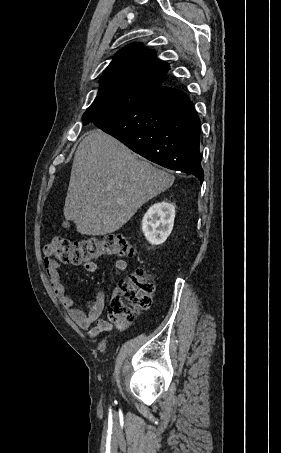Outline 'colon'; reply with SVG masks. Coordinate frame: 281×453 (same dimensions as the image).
I'll use <instances>...</instances> for the list:
<instances>
[{
	"instance_id": "colon-1",
	"label": "colon",
	"mask_w": 281,
	"mask_h": 453,
	"mask_svg": "<svg viewBox=\"0 0 281 453\" xmlns=\"http://www.w3.org/2000/svg\"><path fill=\"white\" fill-rule=\"evenodd\" d=\"M137 249L123 238H80L70 240L57 235L46 252L50 262H94L102 257H135ZM154 278L145 268H138L135 275L120 281L118 296L111 311L126 319L134 312L145 311L152 301Z\"/></svg>"
}]
</instances>
